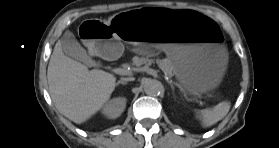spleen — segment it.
Wrapping results in <instances>:
<instances>
[{
  "mask_svg": "<svg viewBox=\"0 0 279 148\" xmlns=\"http://www.w3.org/2000/svg\"><path fill=\"white\" fill-rule=\"evenodd\" d=\"M230 109L229 102H220L211 109L197 111L199 119L202 121L203 127H210L222 120Z\"/></svg>",
  "mask_w": 279,
  "mask_h": 148,
  "instance_id": "1",
  "label": "spleen"
}]
</instances>
